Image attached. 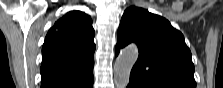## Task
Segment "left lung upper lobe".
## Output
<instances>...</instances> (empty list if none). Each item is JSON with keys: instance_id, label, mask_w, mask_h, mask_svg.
I'll return each instance as SVG.
<instances>
[{"instance_id": "left-lung-upper-lobe-1", "label": "left lung upper lobe", "mask_w": 223, "mask_h": 88, "mask_svg": "<svg viewBox=\"0 0 223 88\" xmlns=\"http://www.w3.org/2000/svg\"><path fill=\"white\" fill-rule=\"evenodd\" d=\"M131 42L139 50L131 77L143 88H196L191 52L168 20L143 8H127L118 29L116 55Z\"/></svg>"}]
</instances>
